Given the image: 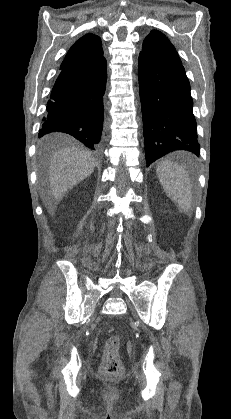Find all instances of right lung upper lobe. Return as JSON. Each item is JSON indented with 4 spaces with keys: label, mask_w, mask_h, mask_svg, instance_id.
I'll return each instance as SVG.
<instances>
[{
    "label": "right lung upper lobe",
    "mask_w": 231,
    "mask_h": 419,
    "mask_svg": "<svg viewBox=\"0 0 231 419\" xmlns=\"http://www.w3.org/2000/svg\"><path fill=\"white\" fill-rule=\"evenodd\" d=\"M105 59L98 36L87 34L75 42L69 49L60 68L73 65L96 63Z\"/></svg>",
    "instance_id": "1"
}]
</instances>
